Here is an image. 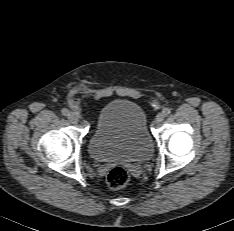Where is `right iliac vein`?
Segmentation results:
<instances>
[{
    "label": "right iliac vein",
    "mask_w": 234,
    "mask_h": 231,
    "mask_svg": "<svg viewBox=\"0 0 234 231\" xmlns=\"http://www.w3.org/2000/svg\"><path fill=\"white\" fill-rule=\"evenodd\" d=\"M68 119H69V121H70L71 123H73V124H77L78 121H79L77 115L74 114V113H70V114L68 115Z\"/></svg>",
    "instance_id": "obj_1"
}]
</instances>
